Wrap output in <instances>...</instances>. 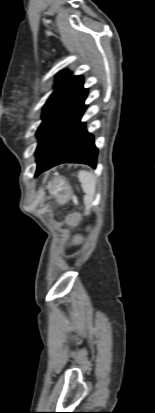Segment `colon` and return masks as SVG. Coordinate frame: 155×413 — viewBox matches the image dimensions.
Instances as JSON below:
<instances>
[{
	"instance_id": "5ec220e1",
	"label": "colon",
	"mask_w": 155,
	"mask_h": 413,
	"mask_svg": "<svg viewBox=\"0 0 155 413\" xmlns=\"http://www.w3.org/2000/svg\"><path fill=\"white\" fill-rule=\"evenodd\" d=\"M68 245L69 246H80L81 242L80 241H69Z\"/></svg>"
}]
</instances>
